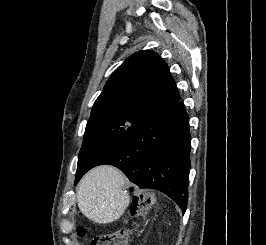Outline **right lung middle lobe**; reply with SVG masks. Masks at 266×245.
<instances>
[{
  "mask_svg": "<svg viewBox=\"0 0 266 245\" xmlns=\"http://www.w3.org/2000/svg\"><path fill=\"white\" fill-rule=\"evenodd\" d=\"M141 119L117 113L91 116L85 130L80 150L76 178L99 155L116 144Z\"/></svg>",
  "mask_w": 266,
  "mask_h": 245,
  "instance_id": "1",
  "label": "right lung middle lobe"
}]
</instances>
